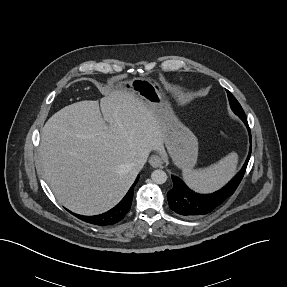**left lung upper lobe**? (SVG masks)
I'll return each instance as SVG.
<instances>
[{
	"label": "left lung upper lobe",
	"mask_w": 287,
	"mask_h": 287,
	"mask_svg": "<svg viewBox=\"0 0 287 287\" xmlns=\"http://www.w3.org/2000/svg\"><path fill=\"white\" fill-rule=\"evenodd\" d=\"M227 94H228L230 106L232 110L234 111V113L237 114L238 116H245L244 111L241 105L239 104V102L236 100V98L228 90H227Z\"/></svg>",
	"instance_id": "left-lung-upper-lobe-1"
}]
</instances>
